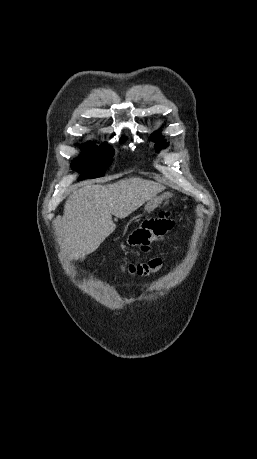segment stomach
Here are the masks:
<instances>
[{"label":"stomach","instance_id":"stomach-1","mask_svg":"<svg viewBox=\"0 0 257 459\" xmlns=\"http://www.w3.org/2000/svg\"><path fill=\"white\" fill-rule=\"evenodd\" d=\"M168 197L169 194H163L162 196L151 198L145 205V211H153L164 199H167Z\"/></svg>","mask_w":257,"mask_h":459}]
</instances>
